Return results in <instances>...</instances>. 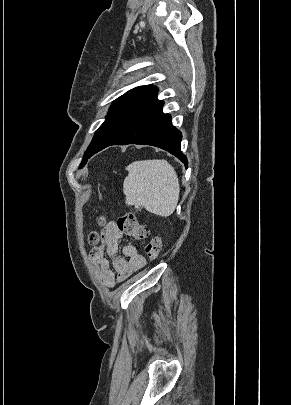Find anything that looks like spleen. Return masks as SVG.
I'll use <instances>...</instances> for the list:
<instances>
[{"label": "spleen", "instance_id": "obj_1", "mask_svg": "<svg viewBox=\"0 0 291 405\" xmlns=\"http://www.w3.org/2000/svg\"><path fill=\"white\" fill-rule=\"evenodd\" d=\"M123 182L126 204L143 207L162 217L170 216L178 203L180 185L174 168L166 160L135 161L126 167Z\"/></svg>", "mask_w": 291, "mask_h": 405}]
</instances>
